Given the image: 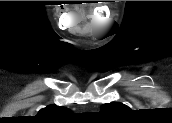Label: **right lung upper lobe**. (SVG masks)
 Instances as JSON below:
<instances>
[{
    "label": "right lung upper lobe",
    "mask_w": 172,
    "mask_h": 123,
    "mask_svg": "<svg viewBox=\"0 0 172 123\" xmlns=\"http://www.w3.org/2000/svg\"><path fill=\"white\" fill-rule=\"evenodd\" d=\"M70 112L71 110L68 108L56 105H49L46 108L41 109L35 117L37 119L51 121L66 116Z\"/></svg>",
    "instance_id": "cb5924a9"
}]
</instances>
